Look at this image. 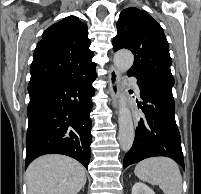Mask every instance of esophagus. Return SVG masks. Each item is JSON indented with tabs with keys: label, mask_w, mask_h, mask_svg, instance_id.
<instances>
[{
	"label": "esophagus",
	"mask_w": 201,
	"mask_h": 194,
	"mask_svg": "<svg viewBox=\"0 0 201 194\" xmlns=\"http://www.w3.org/2000/svg\"><path fill=\"white\" fill-rule=\"evenodd\" d=\"M119 81H120V73L119 71L111 66L109 74H108V85L109 92L112 99V104L115 109L118 107V97H119Z\"/></svg>",
	"instance_id": "esophagus-1"
}]
</instances>
